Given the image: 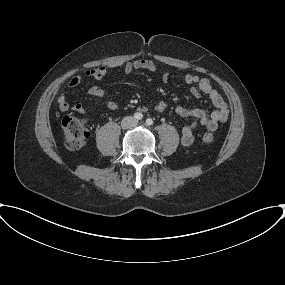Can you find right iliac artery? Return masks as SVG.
<instances>
[{"label": "right iliac artery", "mask_w": 285, "mask_h": 285, "mask_svg": "<svg viewBox=\"0 0 285 285\" xmlns=\"http://www.w3.org/2000/svg\"><path fill=\"white\" fill-rule=\"evenodd\" d=\"M134 118L137 120H141L143 118V115H142V113L137 112L134 114Z\"/></svg>", "instance_id": "obj_1"}]
</instances>
